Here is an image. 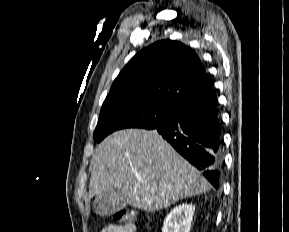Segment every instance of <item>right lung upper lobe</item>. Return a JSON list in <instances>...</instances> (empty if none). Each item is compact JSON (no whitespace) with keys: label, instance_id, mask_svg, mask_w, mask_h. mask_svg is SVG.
Masks as SVG:
<instances>
[{"label":"right lung upper lobe","instance_id":"cb5924a9","mask_svg":"<svg viewBox=\"0 0 289 232\" xmlns=\"http://www.w3.org/2000/svg\"><path fill=\"white\" fill-rule=\"evenodd\" d=\"M199 57L175 40L158 41L138 52L114 80L106 99L140 96L176 108L213 101Z\"/></svg>","mask_w":289,"mask_h":232}]
</instances>
